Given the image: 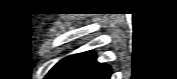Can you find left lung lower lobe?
<instances>
[{
	"mask_svg": "<svg viewBox=\"0 0 177 79\" xmlns=\"http://www.w3.org/2000/svg\"><path fill=\"white\" fill-rule=\"evenodd\" d=\"M93 53H80L63 60L48 79H109V66L97 63Z\"/></svg>",
	"mask_w": 177,
	"mask_h": 79,
	"instance_id": "obj_1",
	"label": "left lung lower lobe"
}]
</instances>
